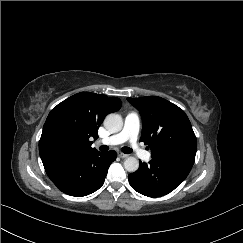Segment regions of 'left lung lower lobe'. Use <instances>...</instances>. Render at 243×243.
Segmentation results:
<instances>
[{"instance_id": "1", "label": "left lung lower lobe", "mask_w": 243, "mask_h": 243, "mask_svg": "<svg viewBox=\"0 0 243 243\" xmlns=\"http://www.w3.org/2000/svg\"><path fill=\"white\" fill-rule=\"evenodd\" d=\"M196 152H170L153 157L149 164L140 161L139 169L128 175L131 187L148 197L173 191L189 174Z\"/></svg>"}]
</instances>
